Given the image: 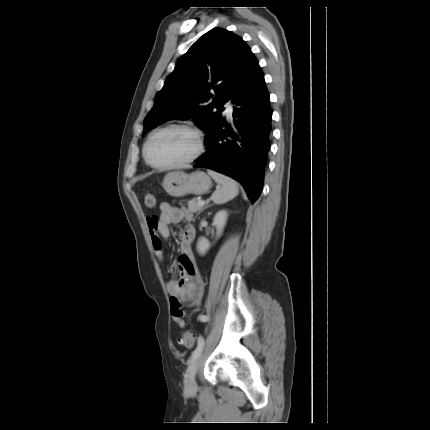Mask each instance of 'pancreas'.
Returning <instances> with one entry per match:
<instances>
[{
	"label": "pancreas",
	"mask_w": 430,
	"mask_h": 430,
	"mask_svg": "<svg viewBox=\"0 0 430 430\" xmlns=\"http://www.w3.org/2000/svg\"><path fill=\"white\" fill-rule=\"evenodd\" d=\"M188 209L194 213L201 212L203 210V206H199L197 200L194 198L188 201Z\"/></svg>",
	"instance_id": "cf45deb5"
}]
</instances>
